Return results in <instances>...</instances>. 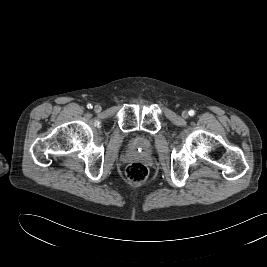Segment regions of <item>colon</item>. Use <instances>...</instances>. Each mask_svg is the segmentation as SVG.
<instances>
[{
	"mask_svg": "<svg viewBox=\"0 0 267 267\" xmlns=\"http://www.w3.org/2000/svg\"><path fill=\"white\" fill-rule=\"evenodd\" d=\"M127 178L134 183H141L148 176V168L140 162H134L128 165L126 169Z\"/></svg>",
	"mask_w": 267,
	"mask_h": 267,
	"instance_id": "5ec220e1",
	"label": "colon"
}]
</instances>
